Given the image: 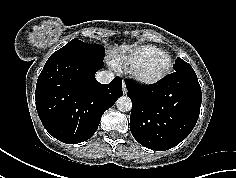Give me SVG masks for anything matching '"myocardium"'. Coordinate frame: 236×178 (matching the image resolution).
I'll list each match as a JSON object with an SVG mask.
<instances>
[{"label":"myocardium","mask_w":236,"mask_h":178,"mask_svg":"<svg viewBox=\"0 0 236 178\" xmlns=\"http://www.w3.org/2000/svg\"><path fill=\"white\" fill-rule=\"evenodd\" d=\"M160 56H167L169 59V64L167 68L159 75L157 76H150L146 73V68L149 65L151 61H153L155 58ZM173 66V60L171 55L168 52L161 51L159 53H156L143 61L137 63L132 70V76L133 78L141 85L151 86L156 85L160 82H162L171 72Z\"/></svg>","instance_id":"obj_1"}]
</instances>
